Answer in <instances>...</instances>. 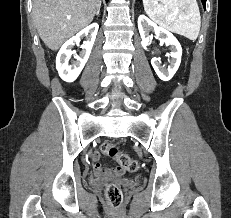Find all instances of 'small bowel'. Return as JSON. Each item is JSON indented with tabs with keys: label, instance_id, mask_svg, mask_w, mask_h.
Masks as SVG:
<instances>
[{
	"label": "small bowel",
	"instance_id": "1",
	"mask_svg": "<svg viewBox=\"0 0 231 218\" xmlns=\"http://www.w3.org/2000/svg\"><path fill=\"white\" fill-rule=\"evenodd\" d=\"M93 170L97 176L118 177L124 173L122 167H107L101 162V155L99 152L93 154Z\"/></svg>",
	"mask_w": 231,
	"mask_h": 218
}]
</instances>
